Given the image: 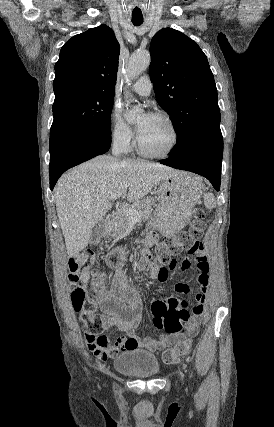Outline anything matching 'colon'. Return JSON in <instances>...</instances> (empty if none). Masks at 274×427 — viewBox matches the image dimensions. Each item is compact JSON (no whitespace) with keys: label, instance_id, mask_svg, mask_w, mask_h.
Instances as JSON below:
<instances>
[{"label":"colon","instance_id":"colon-1","mask_svg":"<svg viewBox=\"0 0 274 427\" xmlns=\"http://www.w3.org/2000/svg\"><path fill=\"white\" fill-rule=\"evenodd\" d=\"M205 213L201 209H195L192 220L186 230L175 235L169 236L163 240L155 250V260L158 264L163 261H171L183 251L190 250L192 245L197 242L198 236H203L205 231ZM100 269V264L96 260L85 259L81 255L71 257L68 260V281L71 287V301L75 312H82L81 319L84 324L85 336L104 339L106 335L102 333L104 320L102 316L94 312V305L91 301H85L81 289L76 288L79 285V277L89 279ZM191 349L189 338H184L173 347H162V363L188 364L189 356L187 350Z\"/></svg>","mask_w":274,"mask_h":427}]
</instances>
